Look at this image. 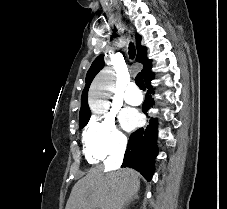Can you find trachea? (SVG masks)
<instances>
[{"label": "trachea", "mask_w": 227, "mask_h": 209, "mask_svg": "<svg viewBox=\"0 0 227 209\" xmlns=\"http://www.w3.org/2000/svg\"><path fill=\"white\" fill-rule=\"evenodd\" d=\"M129 56H130V59H133L135 57V47H134L133 43H130V45H129ZM135 83L138 85V87L141 90H146L144 80L140 73L138 75H136Z\"/></svg>", "instance_id": "3493384b"}]
</instances>
